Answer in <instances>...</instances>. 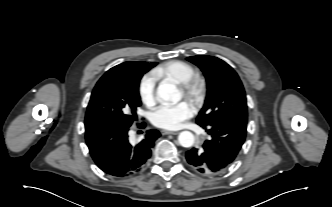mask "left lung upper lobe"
I'll return each instance as SVG.
<instances>
[{
    "label": "left lung upper lobe",
    "mask_w": 332,
    "mask_h": 207,
    "mask_svg": "<svg viewBox=\"0 0 332 207\" xmlns=\"http://www.w3.org/2000/svg\"><path fill=\"white\" fill-rule=\"evenodd\" d=\"M207 80L205 104L197 117L201 127L225 122L247 123L246 95L237 73L226 62L213 56H192Z\"/></svg>",
    "instance_id": "left-lung-upper-lobe-1"
}]
</instances>
